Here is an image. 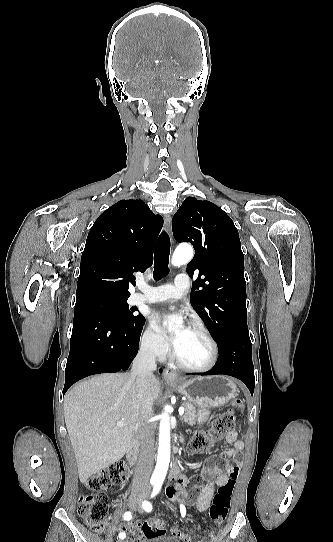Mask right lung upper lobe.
I'll return each instance as SVG.
<instances>
[{
  "label": "right lung upper lobe",
  "mask_w": 333,
  "mask_h": 542,
  "mask_svg": "<svg viewBox=\"0 0 333 542\" xmlns=\"http://www.w3.org/2000/svg\"><path fill=\"white\" fill-rule=\"evenodd\" d=\"M162 226V217L140 199L121 200L105 210L90 229L82 253L76 303L93 293L128 299L129 283L135 285L133 272L153 264Z\"/></svg>",
  "instance_id": "cb5924a9"
}]
</instances>
